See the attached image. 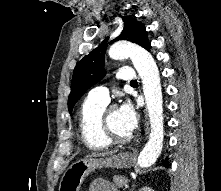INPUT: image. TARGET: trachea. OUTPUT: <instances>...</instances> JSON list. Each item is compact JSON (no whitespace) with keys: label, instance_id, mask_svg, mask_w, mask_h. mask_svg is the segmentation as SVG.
Masks as SVG:
<instances>
[{"label":"trachea","instance_id":"1","mask_svg":"<svg viewBox=\"0 0 221 191\" xmlns=\"http://www.w3.org/2000/svg\"><path fill=\"white\" fill-rule=\"evenodd\" d=\"M131 84H137V81L136 80L131 81Z\"/></svg>","mask_w":221,"mask_h":191}]
</instances>
